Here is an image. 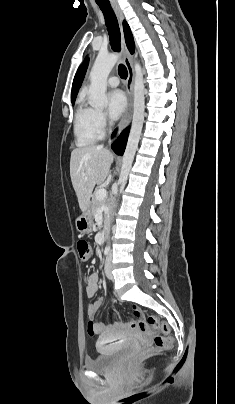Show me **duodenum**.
Wrapping results in <instances>:
<instances>
[{"label":"duodenum","mask_w":235,"mask_h":404,"mask_svg":"<svg viewBox=\"0 0 235 404\" xmlns=\"http://www.w3.org/2000/svg\"><path fill=\"white\" fill-rule=\"evenodd\" d=\"M107 237H108V234H107V233H105V235H104V240H106V239H107Z\"/></svg>","instance_id":"410a0bca"}]
</instances>
